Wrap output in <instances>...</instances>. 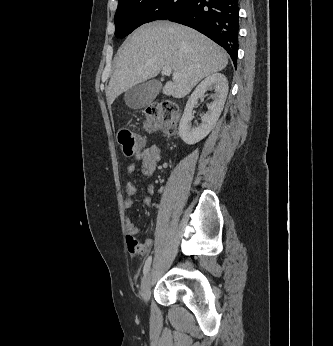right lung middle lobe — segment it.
Instances as JSON below:
<instances>
[{
    "mask_svg": "<svg viewBox=\"0 0 333 346\" xmlns=\"http://www.w3.org/2000/svg\"><path fill=\"white\" fill-rule=\"evenodd\" d=\"M185 0H119L115 14V36L124 38L140 25L166 20Z\"/></svg>",
    "mask_w": 333,
    "mask_h": 346,
    "instance_id": "obj_1",
    "label": "right lung middle lobe"
}]
</instances>
